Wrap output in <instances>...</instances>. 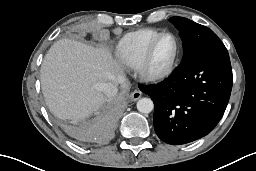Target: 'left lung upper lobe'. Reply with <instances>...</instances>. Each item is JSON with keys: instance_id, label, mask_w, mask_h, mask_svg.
<instances>
[{"instance_id": "obj_1", "label": "left lung upper lobe", "mask_w": 256, "mask_h": 171, "mask_svg": "<svg viewBox=\"0 0 256 171\" xmlns=\"http://www.w3.org/2000/svg\"><path fill=\"white\" fill-rule=\"evenodd\" d=\"M170 21L175 24L182 39V61L205 52L227 50L209 28L184 17H171Z\"/></svg>"}]
</instances>
